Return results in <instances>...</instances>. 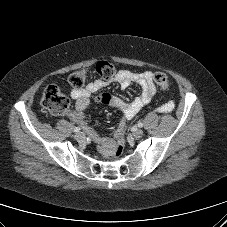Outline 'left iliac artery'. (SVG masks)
<instances>
[{
    "label": "left iliac artery",
    "instance_id": "left-iliac-artery-1",
    "mask_svg": "<svg viewBox=\"0 0 227 227\" xmlns=\"http://www.w3.org/2000/svg\"><path fill=\"white\" fill-rule=\"evenodd\" d=\"M137 126L138 127H143V123L142 122H138Z\"/></svg>",
    "mask_w": 227,
    "mask_h": 227
}]
</instances>
